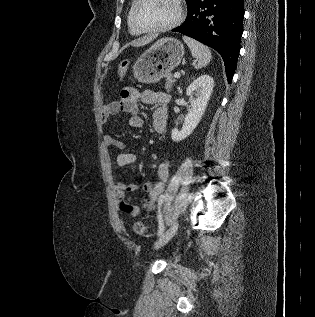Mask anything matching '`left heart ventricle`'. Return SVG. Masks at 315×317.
<instances>
[{
    "instance_id": "b2bd125f",
    "label": "left heart ventricle",
    "mask_w": 315,
    "mask_h": 317,
    "mask_svg": "<svg viewBox=\"0 0 315 317\" xmlns=\"http://www.w3.org/2000/svg\"><path fill=\"white\" fill-rule=\"evenodd\" d=\"M176 13L174 0H143L136 10V21L142 28L159 27L171 22Z\"/></svg>"
}]
</instances>
